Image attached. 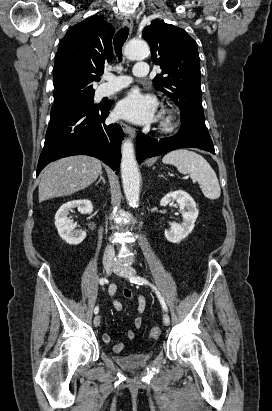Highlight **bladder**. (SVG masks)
<instances>
[{
	"label": "bladder",
	"instance_id": "bladder-1",
	"mask_svg": "<svg viewBox=\"0 0 272 411\" xmlns=\"http://www.w3.org/2000/svg\"><path fill=\"white\" fill-rule=\"evenodd\" d=\"M113 361L118 366L129 371L139 370L150 363L153 353L113 355Z\"/></svg>",
	"mask_w": 272,
	"mask_h": 411
}]
</instances>
